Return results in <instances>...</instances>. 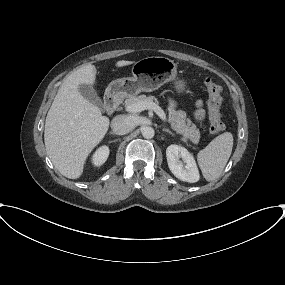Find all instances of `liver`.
Segmentation results:
<instances>
[{
  "label": "liver",
  "instance_id": "obj_1",
  "mask_svg": "<svg viewBox=\"0 0 285 285\" xmlns=\"http://www.w3.org/2000/svg\"><path fill=\"white\" fill-rule=\"evenodd\" d=\"M134 62L120 60L116 67ZM96 67L86 64L71 73L59 88L47 113L44 142L47 154L58 171L69 179L79 178L90 152L104 138L109 119L85 99L78 88L93 85Z\"/></svg>",
  "mask_w": 285,
  "mask_h": 285
}]
</instances>
